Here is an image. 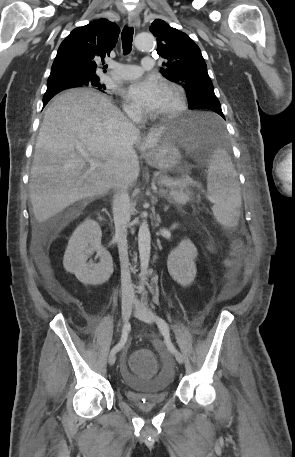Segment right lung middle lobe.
Returning a JSON list of instances; mask_svg holds the SVG:
<instances>
[{
    "mask_svg": "<svg viewBox=\"0 0 295 457\" xmlns=\"http://www.w3.org/2000/svg\"><path fill=\"white\" fill-rule=\"evenodd\" d=\"M83 86H91L94 88H97L99 90L105 89V85L99 83V78L98 77H90L85 81V84ZM80 87V86H79ZM59 91L56 90H50L48 89L43 97V100L45 102H48L55 94H57Z\"/></svg>",
    "mask_w": 295,
    "mask_h": 457,
    "instance_id": "right-lung-middle-lobe-1",
    "label": "right lung middle lobe"
}]
</instances>
